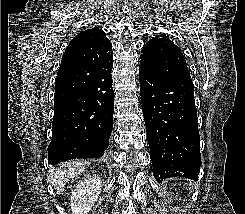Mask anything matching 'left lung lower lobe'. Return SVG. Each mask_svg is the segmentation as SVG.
Here are the masks:
<instances>
[{"mask_svg": "<svg viewBox=\"0 0 245 214\" xmlns=\"http://www.w3.org/2000/svg\"><path fill=\"white\" fill-rule=\"evenodd\" d=\"M142 111L158 182L180 176L197 181L200 136L192 81L139 68Z\"/></svg>", "mask_w": 245, "mask_h": 214, "instance_id": "left-lung-lower-lobe-1", "label": "left lung lower lobe"}]
</instances>
